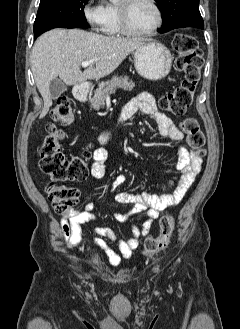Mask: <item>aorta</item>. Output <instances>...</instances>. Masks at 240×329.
I'll return each instance as SVG.
<instances>
[{"mask_svg":"<svg viewBox=\"0 0 240 329\" xmlns=\"http://www.w3.org/2000/svg\"><path fill=\"white\" fill-rule=\"evenodd\" d=\"M112 3H116L118 2V0H110Z\"/></svg>","mask_w":240,"mask_h":329,"instance_id":"aorta-1","label":"aorta"}]
</instances>
